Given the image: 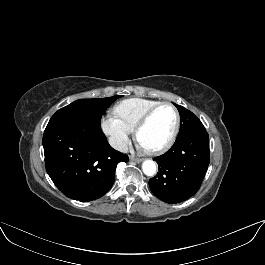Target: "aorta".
Listing matches in <instances>:
<instances>
[{"instance_id":"1","label":"aorta","mask_w":265,"mask_h":265,"mask_svg":"<svg viewBox=\"0 0 265 265\" xmlns=\"http://www.w3.org/2000/svg\"><path fill=\"white\" fill-rule=\"evenodd\" d=\"M142 170H143L145 175L153 176L156 173L157 165L152 160H145L142 163Z\"/></svg>"}]
</instances>
